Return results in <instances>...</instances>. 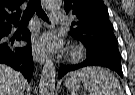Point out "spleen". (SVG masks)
Segmentation results:
<instances>
[{"mask_svg": "<svg viewBox=\"0 0 135 95\" xmlns=\"http://www.w3.org/2000/svg\"><path fill=\"white\" fill-rule=\"evenodd\" d=\"M84 84L89 95H124L117 78L101 67H86L72 73Z\"/></svg>", "mask_w": 135, "mask_h": 95, "instance_id": "3e777b00", "label": "spleen"}]
</instances>
